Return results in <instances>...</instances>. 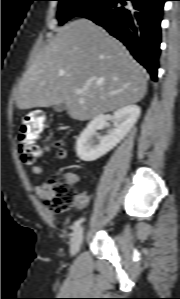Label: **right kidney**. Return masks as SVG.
I'll return each mask as SVG.
<instances>
[{
	"mask_svg": "<svg viewBox=\"0 0 180 299\" xmlns=\"http://www.w3.org/2000/svg\"><path fill=\"white\" fill-rule=\"evenodd\" d=\"M141 114L137 105H127L114 112L112 117L100 114L93 118L80 134L76 143L78 157L86 162L95 161L112 150L131 130ZM114 121V129L100 138L96 144L93 136L96 131L102 129L107 121Z\"/></svg>",
	"mask_w": 180,
	"mask_h": 299,
	"instance_id": "obj_1",
	"label": "right kidney"
}]
</instances>
